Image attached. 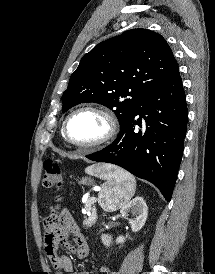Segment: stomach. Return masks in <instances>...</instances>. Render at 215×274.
I'll return each mask as SVG.
<instances>
[{
	"instance_id": "stomach-1",
	"label": "stomach",
	"mask_w": 215,
	"mask_h": 274,
	"mask_svg": "<svg viewBox=\"0 0 215 274\" xmlns=\"http://www.w3.org/2000/svg\"><path fill=\"white\" fill-rule=\"evenodd\" d=\"M81 183L83 185H93L94 184L93 180L91 178H88V177L82 178Z\"/></svg>"
}]
</instances>
